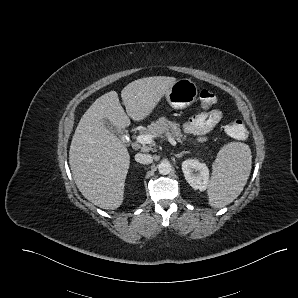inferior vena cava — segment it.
I'll list each match as a JSON object with an SVG mask.
<instances>
[{"label": "inferior vena cava", "mask_w": 298, "mask_h": 298, "mask_svg": "<svg viewBox=\"0 0 298 298\" xmlns=\"http://www.w3.org/2000/svg\"><path fill=\"white\" fill-rule=\"evenodd\" d=\"M135 160L138 163L148 165V164H151L153 162V157L150 154L137 153L135 155Z\"/></svg>", "instance_id": "602c4592"}]
</instances>
